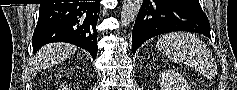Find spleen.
<instances>
[{
  "mask_svg": "<svg viewBox=\"0 0 237 90\" xmlns=\"http://www.w3.org/2000/svg\"><path fill=\"white\" fill-rule=\"evenodd\" d=\"M157 48L172 62H177V64L182 62L196 72H201L203 76L209 74L214 64L212 54L206 44L191 32L165 34L158 40Z\"/></svg>",
  "mask_w": 237,
  "mask_h": 90,
  "instance_id": "1",
  "label": "spleen"
}]
</instances>
